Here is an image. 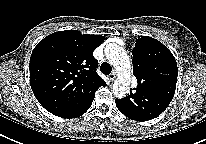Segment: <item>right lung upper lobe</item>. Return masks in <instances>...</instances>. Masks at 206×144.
<instances>
[{"instance_id": "obj_1", "label": "right lung upper lobe", "mask_w": 206, "mask_h": 144, "mask_svg": "<svg viewBox=\"0 0 206 144\" xmlns=\"http://www.w3.org/2000/svg\"><path fill=\"white\" fill-rule=\"evenodd\" d=\"M104 39L66 30L48 35L34 48L29 64L30 85L47 111L65 117L106 85L96 72L98 61L93 56Z\"/></svg>"}]
</instances>
